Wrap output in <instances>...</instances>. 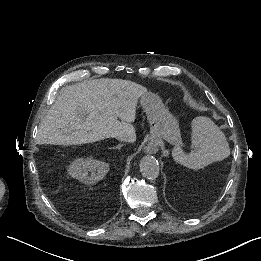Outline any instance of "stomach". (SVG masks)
I'll use <instances>...</instances> for the list:
<instances>
[{"label":"stomach","mask_w":261,"mask_h":261,"mask_svg":"<svg viewBox=\"0 0 261 261\" xmlns=\"http://www.w3.org/2000/svg\"><path fill=\"white\" fill-rule=\"evenodd\" d=\"M140 104L146 112L153 139L162 138L171 144L180 140V129L175 117L165 108L161 98L147 92L140 97Z\"/></svg>","instance_id":"0dacf381"}]
</instances>
